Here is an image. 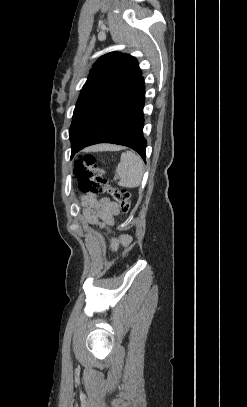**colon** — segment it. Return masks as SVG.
<instances>
[{
  "label": "colon",
  "mask_w": 247,
  "mask_h": 407,
  "mask_svg": "<svg viewBox=\"0 0 247 407\" xmlns=\"http://www.w3.org/2000/svg\"><path fill=\"white\" fill-rule=\"evenodd\" d=\"M73 171L81 192L93 194L107 193L119 207L122 214H129L131 209L129 192L112 186L106 180L103 170L97 165L96 159L92 154L81 155L75 161Z\"/></svg>",
  "instance_id": "5ec220e1"
}]
</instances>
